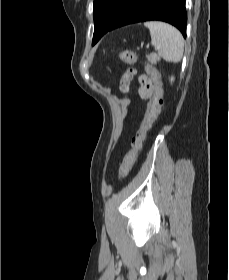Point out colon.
Segmentation results:
<instances>
[{"label": "colon", "instance_id": "colon-1", "mask_svg": "<svg viewBox=\"0 0 229 280\" xmlns=\"http://www.w3.org/2000/svg\"><path fill=\"white\" fill-rule=\"evenodd\" d=\"M120 59L131 66L136 63L137 54L132 50H123L120 52ZM150 72V77L146 75H141L139 77L144 97L148 99V110L136 132V135L132 138L131 150L127 153L124 162L122 163L120 169L121 178H126L130 174L137 154L142 150L153 123L161 113L163 105V90L160 76L153 68H150ZM134 75L135 71L129 69L123 74L122 79L127 82L132 79ZM121 89L123 91L127 90V85L121 83Z\"/></svg>", "mask_w": 229, "mask_h": 280}]
</instances>
